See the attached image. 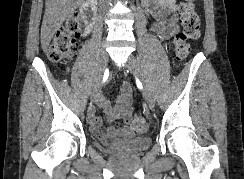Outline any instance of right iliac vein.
<instances>
[{"mask_svg": "<svg viewBox=\"0 0 244 179\" xmlns=\"http://www.w3.org/2000/svg\"><path fill=\"white\" fill-rule=\"evenodd\" d=\"M108 64V55L105 50H102L100 52V56L98 59V65L94 77V82L92 86V95L94 96L96 93H98L99 88H100V82L103 77V74L106 70Z\"/></svg>", "mask_w": 244, "mask_h": 179, "instance_id": "obj_1", "label": "right iliac vein"}]
</instances>
